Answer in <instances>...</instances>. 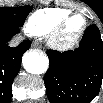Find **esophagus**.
I'll return each mask as SVG.
<instances>
[{
	"instance_id": "obj_1",
	"label": "esophagus",
	"mask_w": 103,
	"mask_h": 103,
	"mask_svg": "<svg viewBox=\"0 0 103 103\" xmlns=\"http://www.w3.org/2000/svg\"><path fill=\"white\" fill-rule=\"evenodd\" d=\"M32 46H33V48H39V47H40L39 43H37V42H34V43L32 44Z\"/></svg>"
}]
</instances>
